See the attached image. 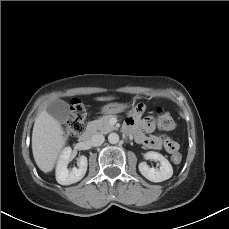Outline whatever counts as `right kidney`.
<instances>
[{
	"label": "right kidney",
	"mask_w": 229,
	"mask_h": 229,
	"mask_svg": "<svg viewBox=\"0 0 229 229\" xmlns=\"http://www.w3.org/2000/svg\"><path fill=\"white\" fill-rule=\"evenodd\" d=\"M71 151L70 147H65L57 162L56 180L61 185H70L80 181L87 171V157L84 155L78 159V168L74 167L71 171L67 168L70 162Z\"/></svg>",
	"instance_id": "ca27d5eb"
}]
</instances>
